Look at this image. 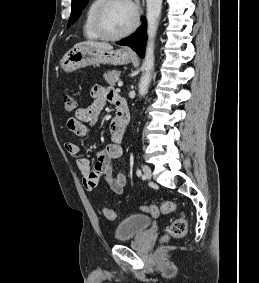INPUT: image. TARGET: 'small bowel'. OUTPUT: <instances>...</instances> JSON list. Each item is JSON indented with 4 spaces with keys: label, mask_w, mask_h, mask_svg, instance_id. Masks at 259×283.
Instances as JSON below:
<instances>
[{
    "label": "small bowel",
    "mask_w": 259,
    "mask_h": 283,
    "mask_svg": "<svg viewBox=\"0 0 259 283\" xmlns=\"http://www.w3.org/2000/svg\"><path fill=\"white\" fill-rule=\"evenodd\" d=\"M91 98L92 102L89 106L78 108L75 115L67 120L68 129L79 137L90 134L106 103L115 104L118 96L111 88L95 86L91 90ZM110 132L112 143L103 150L93 152L97 159L94 169L88 158L79 157L76 160L77 168L83 177L84 187L88 191L96 189L100 184H105L114 193L121 194L127 183L126 177L121 172L115 171L117 162L124 154L122 139L125 129H119L113 120L110 124ZM65 149L71 156H78L81 151L79 145L74 142H66Z\"/></svg>",
    "instance_id": "small-bowel-1"
}]
</instances>
